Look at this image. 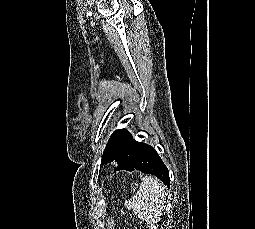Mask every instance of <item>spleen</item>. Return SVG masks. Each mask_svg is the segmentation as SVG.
<instances>
[{"label":"spleen","mask_w":255,"mask_h":229,"mask_svg":"<svg viewBox=\"0 0 255 229\" xmlns=\"http://www.w3.org/2000/svg\"><path fill=\"white\" fill-rule=\"evenodd\" d=\"M164 204V185L151 176H145L136 195L126 201L124 206L145 222L156 223L160 220Z\"/></svg>","instance_id":"1"}]
</instances>
